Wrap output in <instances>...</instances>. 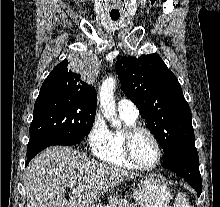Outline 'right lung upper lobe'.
I'll return each instance as SVG.
<instances>
[{
	"mask_svg": "<svg viewBox=\"0 0 220 207\" xmlns=\"http://www.w3.org/2000/svg\"><path fill=\"white\" fill-rule=\"evenodd\" d=\"M40 92H67L95 101L97 99L94 86L84 82L79 74L70 70L67 60H63L51 71L43 82Z\"/></svg>",
	"mask_w": 220,
	"mask_h": 207,
	"instance_id": "1",
	"label": "right lung upper lobe"
}]
</instances>
